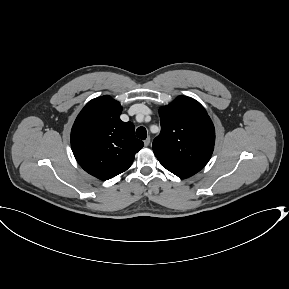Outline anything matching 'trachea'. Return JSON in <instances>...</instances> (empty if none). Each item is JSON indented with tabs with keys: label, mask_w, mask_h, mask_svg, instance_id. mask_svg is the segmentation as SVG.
I'll list each match as a JSON object with an SVG mask.
<instances>
[{
	"label": "trachea",
	"mask_w": 289,
	"mask_h": 289,
	"mask_svg": "<svg viewBox=\"0 0 289 289\" xmlns=\"http://www.w3.org/2000/svg\"><path fill=\"white\" fill-rule=\"evenodd\" d=\"M136 136L139 138V139H142V140H145L146 137H147V131L144 127H139L137 128L136 130Z\"/></svg>",
	"instance_id": "3493384b"
}]
</instances>
